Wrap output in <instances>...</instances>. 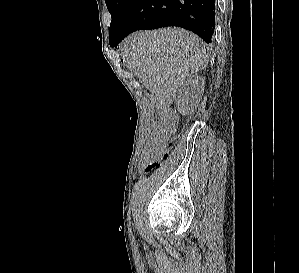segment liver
I'll list each match as a JSON object with an SVG mask.
<instances>
[{
    "instance_id": "1",
    "label": "liver",
    "mask_w": 299,
    "mask_h": 273,
    "mask_svg": "<svg viewBox=\"0 0 299 273\" xmlns=\"http://www.w3.org/2000/svg\"><path fill=\"white\" fill-rule=\"evenodd\" d=\"M122 55L161 110L169 108L182 83L209 61L206 44L180 28L137 32L123 42Z\"/></svg>"
}]
</instances>
